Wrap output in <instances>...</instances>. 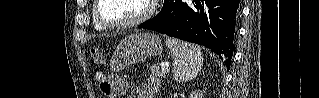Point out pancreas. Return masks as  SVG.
I'll use <instances>...</instances> for the list:
<instances>
[{"label":"pancreas","instance_id":"pancreas-1","mask_svg":"<svg viewBox=\"0 0 319 98\" xmlns=\"http://www.w3.org/2000/svg\"><path fill=\"white\" fill-rule=\"evenodd\" d=\"M150 71L152 73V76L155 78H164L168 71L163 70V68H160L159 65H151Z\"/></svg>","mask_w":319,"mask_h":98}]
</instances>
